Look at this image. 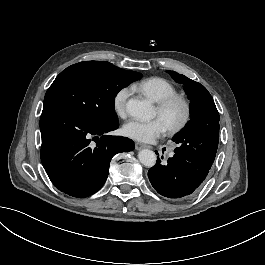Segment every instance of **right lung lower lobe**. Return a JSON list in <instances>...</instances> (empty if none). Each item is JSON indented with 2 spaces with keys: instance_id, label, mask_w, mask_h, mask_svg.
<instances>
[{
  "instance_id": "98d812e1",
  "label": "right lung lower lobe",
  "mask_w": 265,
  "mask_h": 265,
  "mask_svg": "<svg viewBox=\"0 0 265 265\" xmlns=\"http://www.w3.org/2000/svg\"><path fill=\"white\" fill-rule=\"evenodd\" d=\"M117 128L118 124L94 126L64 111L43 109L41 161L52 183L78 198L98 191L107 179L112 157L134 149L132 140L106 134Z\"/></svg>"
}]
</instances>
